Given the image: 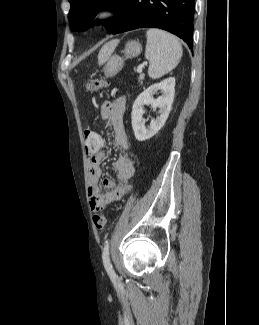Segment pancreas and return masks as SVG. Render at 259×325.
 <instances>
[{
  "instance_id": "1",
  "label": "pancreas",
  "mask_w": 259,
  "mask_h": 325,
  "mask_svg": "<svg viewBox=\"0 0 259 325\" xmlns=\"http://www.w3.org/2000/svg\"><path fill=\"white\" fill-rule=\"evenodd\" d=\"M144 78H145V75L143 73H141L140 76H139V79H138V81L140 82V84L143 83Z\"/></svg>"
}]
</instances>
